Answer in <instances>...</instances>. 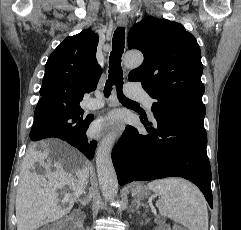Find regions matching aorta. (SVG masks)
<instances>
[{"mask_svg": "<svg viewBox=\"0 0 241 230\" xmlns=\"http://www.w3.org/2000/svg\"><path fill=\"white\" fill-rule=\"evenodd\" d=\"M143 62L141 52H128L124 56V66L129 69L137 68ZM113 136H107L98 147L96 167L100 189L106 200H113L118 192L117 175L112 163L111 152Z\"/></svg>", "mask_w": 241, "mask_h": 230, "instance_id": "aorta-1", "label": "aorta"}]
</instances>
